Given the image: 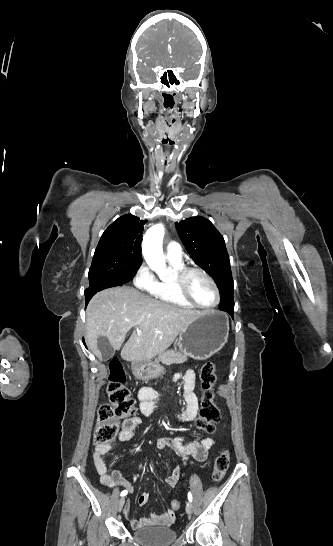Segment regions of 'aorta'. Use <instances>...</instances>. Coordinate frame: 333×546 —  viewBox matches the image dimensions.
I'll list each match as a JSON object with an SVG mask.
<instances>
[{
  "instance_id": "762f6f07",
  "label": "aorta",
  "mask_w": 333,
  "mask_h": 546,
  "mask_svg": "<svg viewBox=\"0 0 333 546\" xmlns=\"http://www.w3.org/2000/svg\"><path fill=\"white\" fill-rule=\"evenodd\" d=\"M164 233V226L156 224L145 233L142 243L144 259L159 277H165L171 273V269L166 267L163 257L162 239Z\"/></svg>"
}]
</instances>
